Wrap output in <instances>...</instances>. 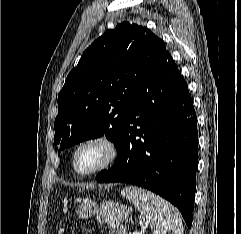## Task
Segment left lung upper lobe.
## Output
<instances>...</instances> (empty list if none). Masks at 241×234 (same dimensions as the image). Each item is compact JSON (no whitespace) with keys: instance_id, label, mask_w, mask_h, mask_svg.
Returning <instances> with one entry per match:
<instances>
[{"instance_id":"5c2ea615","label":"left lung upper lobe","mask_w":241,"mask_h":234,"mask_svg":"<svg viewBox=\"0 0 241 234\" xmlns=\"http://www.w3.org/2000/svg\"><path fill=\"white\" fill-rule=\"evenodd\" d=\"M165 51L163 40L129 22L95 40L58 95L54 143L63 150L105 135L118 149L129 106Z\"/></svg>"}]
</instances>
